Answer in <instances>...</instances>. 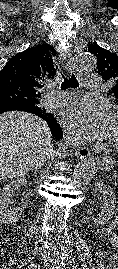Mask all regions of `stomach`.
Listing matches in <instances>:
<instances>
[{
    "label": "stomach",
    "mask_w": 118,
    "mask_h": 269,
    "mask_svg": "<svg viewBox=\"0 0 118 269\" xmlns=\"http://www.w3.org/2000/svg\"><path fill=\"white\" fill-rule=\"evenodd\" d=\"M114 166V161L110 157L102 158L101 162L99 163V168L102 171H110Z\"/></svg>",
    "instance_id": "1"
}]
</instances>
